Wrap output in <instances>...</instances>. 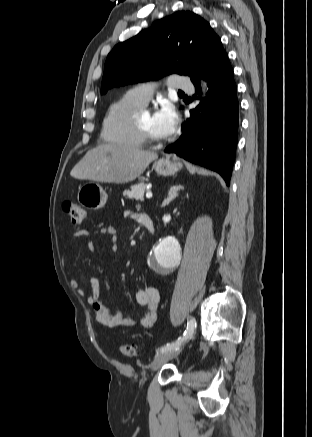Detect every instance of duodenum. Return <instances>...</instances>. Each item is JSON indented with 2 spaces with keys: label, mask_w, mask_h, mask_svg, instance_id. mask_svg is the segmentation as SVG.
<instances>
[{
  "label": "duodenum",
  "mask_w": 312,
  "mask_h": 437,
  "mask_svg": "<svg viewBox=\"0 0 312 437\" xmlns=\"http://www.w3.org/2000/svg\"><path fill=\"white\" fill-rule=\"evenodd\" d=\"M141 223L149 233H154V223L150 217L144 215L141 220Z\"/></svg>",
  "instance_id": "410a0bca"
}]
</instances>
